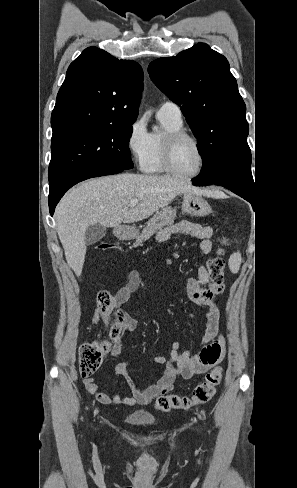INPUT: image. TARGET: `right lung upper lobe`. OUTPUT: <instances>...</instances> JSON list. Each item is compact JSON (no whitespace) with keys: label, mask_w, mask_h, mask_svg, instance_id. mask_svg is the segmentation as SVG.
<instances>
[{"label":"right lung upper lobe","mask_w":297,"mask_h":488,"mask_svg":"<svg viewBox=\"0 0 297 488\" xmlns=\"http://www.w3.org/2000/svg\"><path fill=\"white\" fill-rule=\"evenodd\" d=\"M143 89L142 68L88 47L69 66L51 115L53 135L79 127L132 125Z\"/></svg>","instance_id":"1"}]
</instances>
